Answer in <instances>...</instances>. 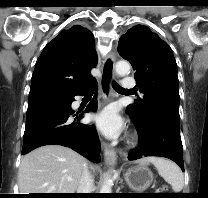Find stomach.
I'll use <instances>...</instances> for the list:
<instances>
[{"label":"stomach","mask_w":208,"mask_h":198,"mask_svg":"<svg viewBox=\"0 0 208 198\" xmlns=\"http://www.w3.org/2000/svg\"><path fill=\"white\" fill-rule=\"evenodd\" d=\"M127 185L135 191H145L153 182V173L142 164L129 168L125 175Z\"/></svg>","instance_id":"obj_1"}]
</instances>
